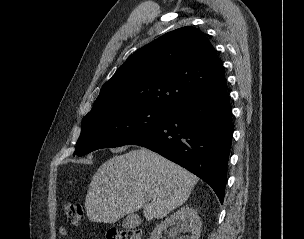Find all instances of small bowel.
Listing matches in <instances>:
<instances>
[{"label":"small bowel","mask_w":304,"mask_h":239,"mask_svg":"<svg viewBox=\"0 0 304 239\" xmlns=\"http://www.w3.org/2000/svg\"><path fill=\"white\" fill-rule=\"evenodd\" d=\"M58 231H59V234L62 237H67L68 236V231L64 226L59 227Z\"/></svg>","instance_id":"small-bowel-1"}]
</instances>
